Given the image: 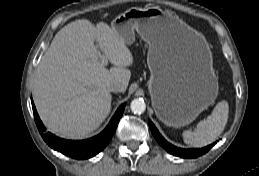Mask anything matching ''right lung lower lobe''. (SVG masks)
Wrapping results in <instances>:
<instances>
[{
  "label": "right lung lower lobe",
  "mask_w": 259,
  "mask_h": 176,
  "mask_svg": "<svg viewBox=\"0 0 259 176\" xmlns=\"http://www.w3.org/2000/svg\"><path fill=\"white\" fill-rule=\"evenodd\" d=\"M32 108L37 128L44 141L51 148L75 159H87L95 156L107 146L123 114L125 103L118 108L108 126L99 135L81 141L64 140L51 134L50 132H46L33 101Z\"/></svg>",
  "instance_id": "1"
}]
</instances>
